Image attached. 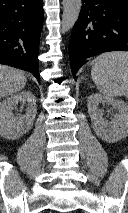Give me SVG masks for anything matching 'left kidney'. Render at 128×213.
Instances as JSON below:
<instances>
[{
	"label": "left kidney",
	"mask_w": 128,
	"mask_h": 213,
	"mask_svg": "<svg viewBox=\"0 0 128 213\" xmlns=\"http://www.w3.org/2000/svg\"><path fill=\"white\" fill-rule=\"evenodd\" d=\"M99 104L111 105L118 111L111 122L104 120L103 110L98 108ZM87 108L94 132L99 138L115 143L128 136V105L124 101L92 94L87 99Z\"/></svg>",
	"instance_id": "1"
}]
</instances>
